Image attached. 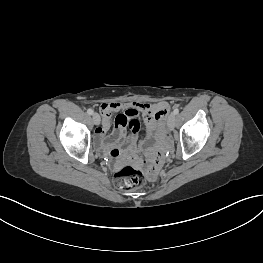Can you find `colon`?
I'll return each instance as SVG.
<instances>
[{"instance_id": "5ec220e1", "label": "colon", "mask_w": 263, "mask_h": 263, "mask_svg": "<svg viewBox=\"0 0 263 263\" xmlns=\"http://www.w3.org/2000/svg\"><path fill=\"white\" fill-rule=\"evenodd\" d=\"M163 162V159H162ZM162 165V163H161ZM115 185L124 191L140 187L144 182L143 172L132 165H125L119 168L113 177Z\"/></svg>"}]
</instances>
